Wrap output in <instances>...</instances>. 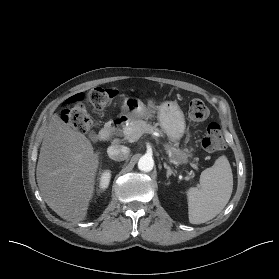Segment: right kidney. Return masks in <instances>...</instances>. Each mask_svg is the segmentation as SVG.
Segmentation results:
<instances>
[{
  "label": "right kidney",
  "mask_w": 279,
  "mask_h": 279,
  "mask_svg": "<svg viewBox=\"0 0 279 279\" xmlns=\"http://www.w3.org/2000/svg\"><path fill=\"white\" fill-rule=\"evenodd\" d=\"M111 179V171L105 170L103 173H101L99 178V190L98 192L104 191L106 188H108L109 183Z\"/></svg>",
  "instance_id": "obj_1"
}]
</instances>
